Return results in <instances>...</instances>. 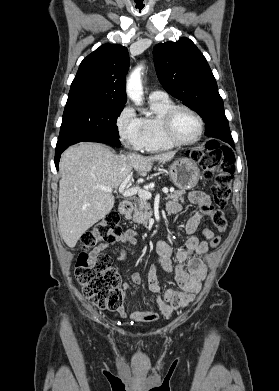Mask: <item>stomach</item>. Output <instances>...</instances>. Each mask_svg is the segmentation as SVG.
Listing matches in <instances>:
<instances>
[{
	"instance_id": "0dacf381",
	"label": "stomach",
	"mask_w": 279,
	"mask_h": 391,
	"mask_svg": "<svg viewBox=\"0 0 279 391\" xmlns=\"http://www.w3.org/2000/svg\"><path fill=\"white\" fill-rule=\"evenodd\" d=\"M169 176L175 186L185 191L196 186L200 171L191 159L180 158L169 166Z\"/></svg>"
}]
</instances>
